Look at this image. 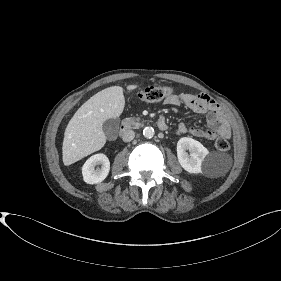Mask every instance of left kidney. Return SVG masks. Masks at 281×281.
<instances>
[{
    "mask_svg": "<svg viewBox=\"0 0 281 281\" xmlns=\"http://www.w3.org/2000/svg\"><path fill=\"white\" fill-rule=\"evenodd\" d=\"M190 151V155L187 153ZM209 151L199 141L189 137L181 138L177 143V157L182 168L191 174L202 172V163Z\"/></svg>",
    "mask_w": 281,
    "mask_h": 281,
    "instance_id": "5707ae66",
    "label": "left kidney"
}]
</instances>
